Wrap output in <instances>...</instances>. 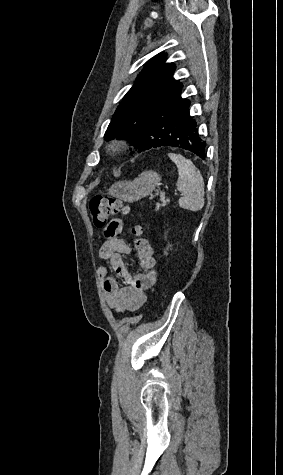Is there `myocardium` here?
Masks as SVG:
<instances>
[{"label": "myocardium", "mask_w": 283, "mask_h": 475, "mask_svg": "<svg viewBox=\"0 0 283 475\" xmlns=\"http://www.w3.org/2000/svg\"><path fill=\"white\" fill-rule=\"evenodd\" d=\"M127 148L126 142L121 138L112 139L107 146L108 152L111 155H120Z\"/></svg>", "instance_id": "1"}]
</instances>
